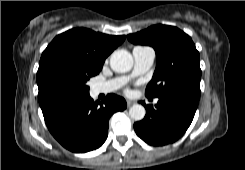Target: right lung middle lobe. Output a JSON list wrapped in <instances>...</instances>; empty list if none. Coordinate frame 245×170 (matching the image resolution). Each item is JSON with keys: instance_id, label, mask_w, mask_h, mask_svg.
Instances as JSON below:
<instances>
[{"instance_id": "right-lung-middle-lobe-1", "label": "right lung middle lobe", "mask_w": 245, "mask_h": 170, "mask_svg": "<svg viewBox=\"0 0 245 170\" xmlns=\"http://www.w3.org/2000/svg\"><path fill=\"white\" fill-rule=\"evenodd\" d=\"M100 71H89L60 62L46 65L37 73L38 100L42 111L66 101L89 95L87 81Z\"/></svg>"}]
</instances>
